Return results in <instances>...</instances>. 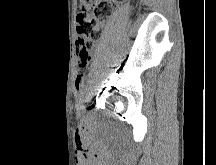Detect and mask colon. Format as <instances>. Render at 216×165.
<instances>
[{"label": "colon", "instance_id": "1", "mask_svg": "<svg viewBox=\"0 0 216 165\" xmlns=\"http://www.w3.org/2000/svg\"><path fill=\"white\" fill-rule=\"evenodd\" d=\"M77 15L78 63L85 65L91 58L95 41L111 14L114 0H80Z\"/></svg>", "mask_w": 216, "mask_h": 165}]
</instances>
